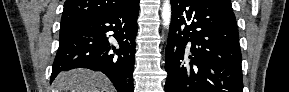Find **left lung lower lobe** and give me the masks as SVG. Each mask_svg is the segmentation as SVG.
<instances>
[{"mask_svg":"<svg viewBox=\"0 0 289 92\" xmlns=\"http://www.w3.org/2000/svg\"><path fill=\"white\" fill-rule=\"evenodd\" d=\"M166 92H243L234 12L211 0H171Z\"/></svg>","mask_w":289,"mask_h":92,"instance_id":"obj_1","label":"left lung lower lobe"}]
</instances>
